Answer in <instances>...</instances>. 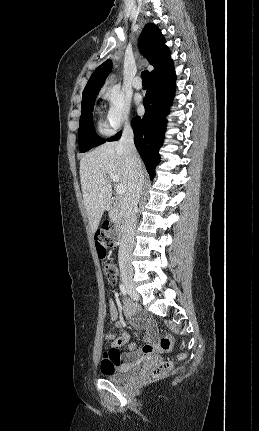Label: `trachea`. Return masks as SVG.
Listing matches in <instances>:
<instances>
[{"mask_svg": "<svg viewBox=\"0 0 259 431\" xmlns=\"http://www.w3.org/2000/svg\"><path fill=\"white\" fill-rule=\"evenodd\" d=\"M141 78L143 81V84H148L149 83V78H150V73L149 71L145 70L141 73Z\"/></svg>", "mask_w": 259, "mask_h": 431, "instance_id": "3493384b", "label": "trachea"}]
</instances>
